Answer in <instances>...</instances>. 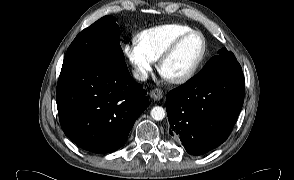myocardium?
Segmentation results:
<instances>
[{
    "mask_svg": "<svg viewBox=\"0 0 294 180\" xmlns=\"http://www.w3.org/2000/svg\"><path fill=\"white\" fill-rule=\"evenodd\" d=\"M193 35H198L201 40H202V51L199 55V57L197 58V60L195 61V63L193 64V66L182 76L177 77V78H167L171 83L173 84H184L187 83L188 81H190L195 74L197 73L199 67L201 66V64L203 63L205 57H206V53H207V41L205 38V35L199 31V30H191L189 32H186L184 34H182L181 36H179L177 39H175L168 47L167 49L162 53V55L159 58V71L162 72V68L164 66V64L171 58V56L176 52V50L178 49V47L189 37L193 36Z\"/></svg>",
    "mask_w": 294,
    "mask_h": 180,
    "instance_id": "myocardium-1",
    "label": "myocardium"
}]
</instances>
